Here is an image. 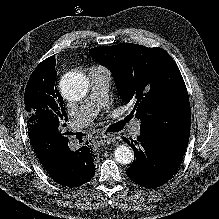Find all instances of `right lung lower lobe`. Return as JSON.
<instances>
[{"label":"right lung lower lobe","mask_w":219,"mask_h":219,"mask_svg":"<svg viewBox=\"0 0 219 219\" xmlns=\"http://www.w3.org/2000/svg\"><path fill=\"white\" fill-rule=\"evenodd\" d=\"M28 134L39 161L60 185L78 187L93 177L95 157L90 146L71 151L68 138L51 126L32 128Z\"/></svg>","instance_id":"98d812e1"}]
</instances>
